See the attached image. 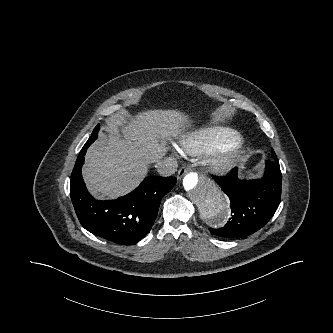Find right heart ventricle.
<instances>
[{
  "instance_id": "1",
  "label": "right heart ventricle",
  "mask_w": 333,
  "mask_h": 333,
  "mask_svg": "<svg viewBox=\"0 0 333 333\" xmlns=\"http://www.w3.org/2000/svg\"><path fill=\"white\" fill-rule=\"evenodd\" d=\"M232 141H240V136L232 130L205 128L182 138L179 144L184 153L199 156Z\"/></svg>"
}]
</instances>
